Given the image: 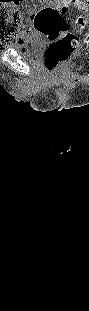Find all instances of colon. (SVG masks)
I'll return each mask as SVG.
<instances>
[{
    "label": "colon",
    "instance_id": "obj_1",
    "mask_svg": "<svg viewBox=\"0 0 89 311\" xmlns=\"http://www.w3.org/2000/svg\"><path fill=\"white\" fill-rule=\"evenodd\" d=\"M70 4L80 12H87L89 8V0H52L38 10L33 20L34 29L51 41L44 57L50 71L58 70L78 49V34L86 25L83 15L65 18ZM21 22L20 14L14 8L4 7L0 10L1 29L10 26L12 32L19 28ZM70 27L74 32L70 31Z\"/></svg>",
    "mask_w": 89,
    "mask_h": 311
}]
</instances>
